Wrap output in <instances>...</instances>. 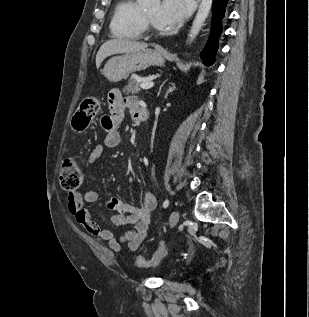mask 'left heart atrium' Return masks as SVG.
Returning <instances> with one entry per match:
<instances>
[{
    "mask_svg": "<svg viewBox=\"0 0 309 317\" xmlns=\"http://www.w3.org/2000/svg\"><path fill=\"white\" fill-rule=\"evenodd\" d=\"M188 14L187 0H163L156 17V23L162 30L176 29Z\"/></svg>",
    "mask_w": 309,
    "mask_h": 317,
    "instance_id": "left-heart-atrium-1",
    "label": "left heart atrium"
}]
</instances>
